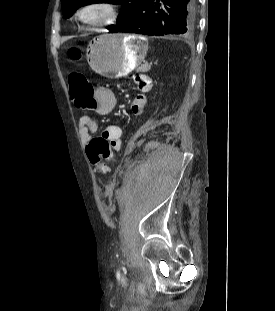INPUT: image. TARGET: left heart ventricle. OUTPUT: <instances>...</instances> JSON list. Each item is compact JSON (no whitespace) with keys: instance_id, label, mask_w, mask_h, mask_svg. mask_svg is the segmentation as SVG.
Instances as JSON below:
<instances>
[{"instance_id":"b2bd125f","label":"left heart ventricle","mask_w":275,"mask_h":311,"mask_svg":"<svg viewBox=\"0 0 275 311\" xmlns=\"http://www.w3.org/2000/svg\"><path fill=\"white\" fill-rule=\"evenodd\" d=\"M94 16L97 17V16H99V14H98V13H95Z\"/></svg>"}]
</instances>
